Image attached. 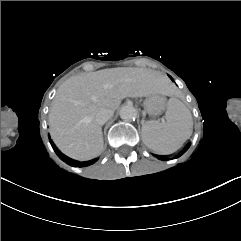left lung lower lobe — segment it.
<instances>
[{
	"label": "left lung lower lobe",
	"instance_id": "obj_1",
	"mask_svg": "<svg viewBox=\"0 0 241 241\" xmlns=\"http://www.w3.org/2000/svg\"><path fill=\"white\" fill-rule=\"evenodd\" d=\"M189 146L190 145H188L180 154H178L176 157H179V156H181L183 153H185L187 150H188V148H189ZM159 159H161V160H165L164 158H162V157H158Z\"/></svg>",
	"mask_w": 241,
	"mask_h": 241
}]
</instances>
